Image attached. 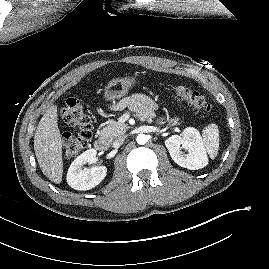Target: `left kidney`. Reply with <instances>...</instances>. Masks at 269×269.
<instances>
[{
  "instance_id": "obj_1",
  "label": "left kidney",
  "mask_w": 269,
  "mask_h": 269,
  "mask_svg": "<svg viewBox=\"0 0 269 269\" xmlns=\"http://www.w3.org/2000/svg\"><path fill=\"white\" fill-rule=\"evenodd\" d=\"M173 161L189 170H198L208 164V158L199 131L193 127L185 128L182 135H172L165 140ZM182 149L188 151L185 153Z\"/></svg>"
}]
</instances>
